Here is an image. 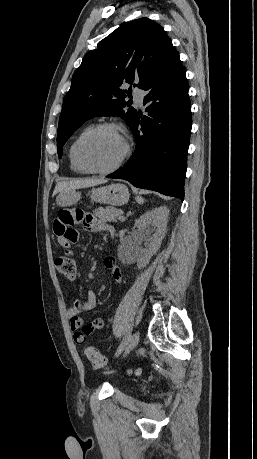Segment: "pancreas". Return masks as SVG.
<instances>
[{"mask_svg": "<svg viewBox=\"0 0 257 459\" xmlns=\"http://www.w3.org/2000/svg\"><path fill=\"white\" fill-rule=\"evenodd\" d=\"M95 216L104 222H116L117 217L122 213L115 207H99L93 211Z\"/></svg>", "mask_w": 257, "mask_h": 459, "instance_id": "1", "label": "pancreas"}]
</instances>
